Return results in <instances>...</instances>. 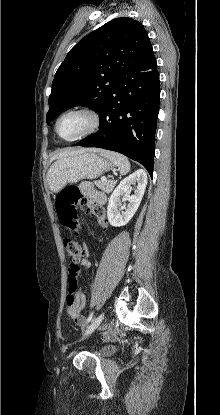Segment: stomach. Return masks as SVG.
<instances>
[{
	"instance_id": "1",
	"label": "stomach",
	"mask_w": 220,
	"mask_h": 415,
	"mask_svg": "<svg viewBox=\"0 0 220 415\" xmlns=\"http://www.w3.org/2000/svg\"><path fill=\"white\" fill-rule=\"evenodd\" d=\"M113 168L105 158L94 152L58 159L47 173L48 186L52 192L60 191L67 183H76L82 179H95Z\"/></svg>"
}]
</instances>
